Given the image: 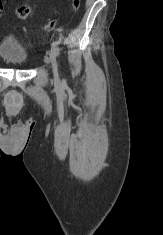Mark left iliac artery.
<instances>
[{
    "mask_svg": "<svg viewBox=\"0 0 163 235\" xmlns=\"http://www.w3.org/2000/svg\"><path fill=\"white\" fill-rule=\"evenodd\" d=\"M52 48H54V50H55V52H56V55H59V53H60V48H59L57 42H53V43H52Z\"/></svg>",
    "mask_w": 163,
    "mask_h": 235,
    "instance_id": "left-iliac-artery-1",
    "label": "left iliac artery"
}]
</instances>
